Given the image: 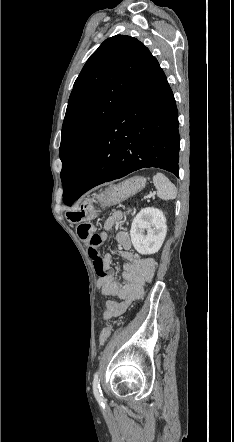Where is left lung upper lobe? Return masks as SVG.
Listing matches in <instances>:
<instances>
[{"label":"left lung upper lobe","mask_w":234,"mask_h":442,"mask_svg":"<svg viewBox=\"0 0 234 442\" xmlns=\"http://www.w3.org/2000/svg\"><path fill=\"white\" fill-rule=\"evenodd\" d=\"M152 57L137 39L116 35L106 39L85 63L62 126L64 203L75 194L102 130Z\"/></svg>","instance_id":"left-lung-upper-lobe-1"}]
</instances>
